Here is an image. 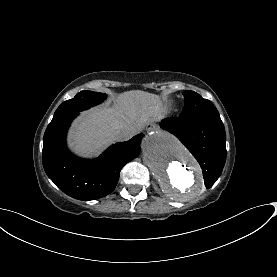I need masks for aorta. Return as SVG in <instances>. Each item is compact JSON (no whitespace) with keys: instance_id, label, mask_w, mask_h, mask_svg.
<instances>
[{"instance_id":"762f6f07","label":"aorta","mask_w":277,"mask_h":277,"mask_svg":"<svg viewBox=\"0 0 277 277\" xmlns=\"http://www.w3.org/2000/svg\"><path fill=\"white\" fill-rule=\"evenodd\" d=\"M143 159L171 199L189 201L204 189L201 169L189 151L172 135L155 131L142 143Z\"/></svg>"}]
</instances>
